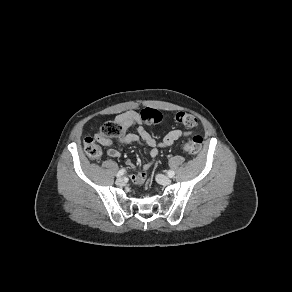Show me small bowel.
I'll return each mask as SVG.
<instances>
[{
    "label": "small bowel",
    "instance_id": "1",
    "mask_svg": "<svg viewBox=\"0 0 292 292\" xmlns=\"http://www.w3.org/2000/svg\"><path fill=\"white\" fill-rule=\"evenodd\" d=\"M115 122L122 125L125 129V133L116 138L117 142L122 145H129L134 143H140L149 148V156L151 162L143 167L142 171H138L130 175V179L136 185H142L146 181V172L153 166L159 154V148H165L172 146L176 141L188 136L190 131L182 129H174L169 131L161 140H156L143 126V120L141 119L140 113L137 111H127L118 115ZM135 126L137 129V134L126 133V130ZM192 129V128H188ZM114 139L102 137L100 138V144L107 147V154L110 157L118 158L120 157V151L113 148ZM130 166H134L131 162Z\"/></svg>",
    "mask_w": 292,
    "mask_h": 292
}]
</instances>
